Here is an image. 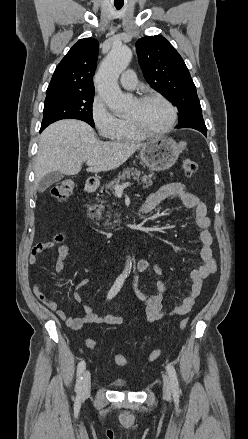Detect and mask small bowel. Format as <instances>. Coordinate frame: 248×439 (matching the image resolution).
<instances>
[{"label": "small bowel", "mask_w": 248, "mask_h": 439, "mask_svg": "<svg viewBox=\"0 0 248 439\" xmlns=\"http://www.w3.org/2000/svg\"><path fill=\"white\" fill-rule=\"evenodd\" d=\"M174 199H180L184 206L194 211V222L200 229V256L203 261L202 266L193 270L190 273L189 288L183 300L176 304L171 310L164 309L162 306L166 288L161 281L155 283V291L146 293L139 290L137 280L139 274L152 270L157 275H161V267L151 260L143 259L137 263L136 271L132 281V290L137 299L145 302L146 316L148 321L153 322L172 315H185L193 308L197 297L202 288L203 280L214 274L217 271V262L212 251V234L210 232V219L207 216V206L194 194L188 191L183 183H169L160 187L157 191L150 194L142 206V211L145 213L151 212L159 204L168 202ZM77 245L76 243H67L60 245L57 249L56 261L54 264V272L60 273L64 269L65 260L71 248ZM51 244H40L33 248L30 257V265H34L37 258ZM91 281V278H84L74 285L72 289L73 299L79 304L83 310V316L78 318L68 317L65 311L59 306L57 302L50 299L41 289L40 285L35 282L33 284V292L35 296L50 310L54 311L66 325L72 329H80L86 324H105V325H120L123 322L122 317L115 314L99 315L94 310L83 302L80 291L86 287Z\"/></svg>", "instance_id": "c3829d8e"}]
</instances>
